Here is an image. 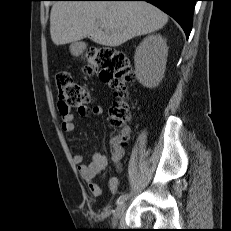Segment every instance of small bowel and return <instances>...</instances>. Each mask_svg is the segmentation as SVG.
I'll return each instance as SVG.
<instances>
[{
	"label": "small bowel",
	"mask_w": 231,
	"mask_h": 231,
	"mask_svg": "<svg viewBox=\"0 0 231 231\" xmlns=\"http://www.w3.org/2000/svg\"><path fill=\"white\" fill-rule=\"evenodd\" d=\"M104 110L101 106H83L79 108V114L81 116L95 115L102 116ZM61 129L65 133H72L75 129L74 115L71 113L63 114L61 121ZM131 133L130 128L126 127L123 130L124 135ZM124 155V149L121 146L119 140L113 139L111 141V156L113 163L119 168L121 160ZM73 162L78 168L80 176L86 181L88 188L94 197H99L102 194V187L97 183L96 177L101 174L107 166V158L100 151H94L91 155V162L89 164L84 163V157L82 154H75L73 156ZM107 187L112 193H116L119 187V179L117 177H110L107 181Z\"/></svg>",
	"instance_id": "small-bowel-1"
}]
</instances>
